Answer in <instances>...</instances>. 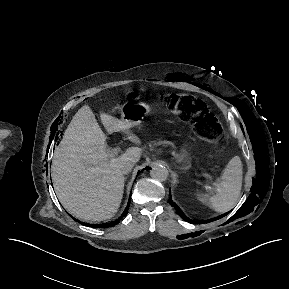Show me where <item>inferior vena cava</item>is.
Listing matches in <instances>:
<instances>
[{
	"mask_svg": "<svg viewBox=\"0 0 289 289\" xmlns=\"http://www.w3.org/2000/svg\"><path fill=\"white\" fill-rule=\"evenodd\" d=\"M134 162H130V161H127V162H124L121 166H120V169H121V172L123 174H127L129 173L132 168L134 167Z\"/></svg>",
	"mask_w": 289,
	"mask_h": 289,
	"instance_id": "602c4592",
	"label": "inferior vena cava"
}]
</instances>
